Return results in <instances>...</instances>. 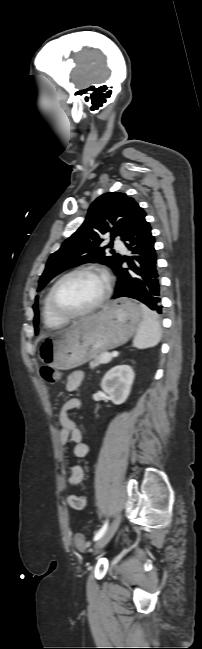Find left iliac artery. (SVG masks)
<instances>
[{"mask_svg":"<svg viewBox=\"0 0 202 649\" xmlns=\"http://www.w3.org/2000/svg\"><path fill=\"white\" fill-rule=\"evenodd\" d=\"M107 528H108V522L106 521L104 525L99 529V531L95 534L94 541L99 540L104 535Z\"/></svg>","mask_w":202,"mask_h":649,"instance_id":"obj_1","label":"left iliac artery"}]
</instances>
